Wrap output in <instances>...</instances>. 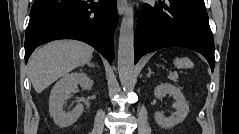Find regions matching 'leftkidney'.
<instances>
[{
    "instance_id": "left-kidney-1",
    "label": "left kidney",
    "mask_w": 239,
    "mask_h": 134,
    "mask_svg": "<svg viewBox=\"0 0 239 134\" xmlns=\"http://www.w3.org/2000/svg\"><path fill=\"white\" fill-rule=\"evenodd\" d=\"M167 94L172 95L176 100V112L169 117H165L162 112H155L154 115L156 123L165 129L172 128L183 122L189 112V105L179 88L172 84L162 83L154 89V96L158 99Z\"/></svg>"
}]
</instances>
